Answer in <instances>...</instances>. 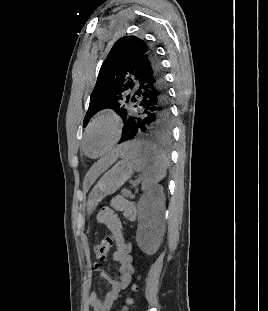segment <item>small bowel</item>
Returning <instances> with one entry per match:
<instances>
[{
	"label": "small bowel",
	"mask_w": 268,
	"mask_h": 311,
	"mask_svg": "<svg viewBox=\"0 0 268 311\" xmlns=\"http://www.w3.org/2000/svg\"><path fill=\"white\" fill-rule=\"evenodd\" d=\"M97 220L99 223L104 224L111 233L112 243L116 248L113 253V260L117 263L116 271L120 275V278L118 280L113 279L106 271H100V278L109 284L110 289L102 299H99L96 292L90 289L88 304L93 311H110L119 298L120 293L131 282L134 265L133 258L130 255V244L124 237L117 215L112 210L105 209L98 213Z\"/></svg>",
	"instance_id": "obj_1"
}]
</instances>
